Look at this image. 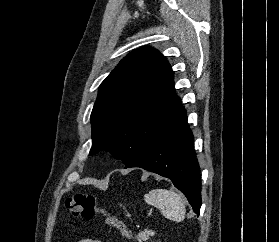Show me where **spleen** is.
Returning <instances> with one entry per match:
<instances>
[{"instance_id":"obj_1","label":"spleen","mask_w":279,"mask_h":242,"mask_svg":"<svg viewBox=\"0 0 279 242\" xmlns=\"http://www.w3.org/2000/svg\"><path fill=\"white\" fill-rule=\"evenodd\" d=\"M147 204L161 210L162 214L173 221H183L185 218V205L181 196L174 191L166 189H153L144 195Z\"/></svg>"}]
</instances>
